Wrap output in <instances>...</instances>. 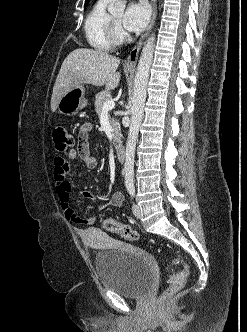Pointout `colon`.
<instances>
[{"mask_svg": "<svg viewBox=\"0 0 247 332\" xmlns=\"http://www.w3.org/2000/svg\"><path fill=\"white\" fill-rule=\"evenodd\" d=\"M52 138L55 148L59 152L69 150L74 144L72 135L63 126L54 128ZM101 226L104 230L110 233L119 234L121 237L128 240H137L139 238V234L136 230L128 225L121 224L112 218L103 219ZM169 263L171 266H179L180 269L171 273L169 277L170 285L161 293L159 297L160 303H166L178 293L185 286L189 275L188 266L181 258L171 256L169 257Z\"/></svg>", "mask_w": 247, "mask_h": 332, "instance_id": "5ec220e1", "label": "colon"}]
</instances>
